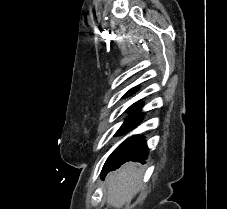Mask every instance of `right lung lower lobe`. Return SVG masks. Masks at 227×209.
I'll use <instances>...</instances> for the list:
<instances>
[{
	"instance_id": "1",
	"label": "right lung lower lobe",
	"mask_w": 227,
	"mask_h": 209,
	"mask_svg": "<svg viewBox=\"0 0 227 209\" xmlns=\"http://www.w3.org/2000/svg\"><path fill=\"white\" fill-rule=\"evenodd\" d=\"M148 147L145 143V140L140 136H137L131 142L123 146L114 156L113 163L107 171H102L103 175H106L111 170L119 168L122 164L127 161L141 162L144 163V160L148 155Z\"/></svg>"
}]
</instances>
